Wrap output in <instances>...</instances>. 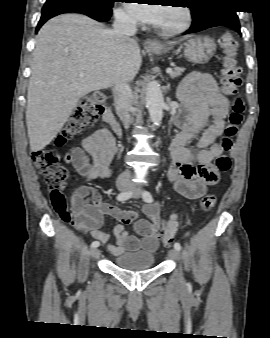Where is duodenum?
I'll return each mask as SVG.
<instances>
[{"label": "duodenum", "instance_id": "410a0bca", "mask_svg": "<svg viewBox=\"0 0 270 338\" xmlns=\"http://www.w3.org/2000/svg\"><path fill=\"white\" fill-rule=\"evenodd\" d=\"M103 120L119 133V123L110 107H106L102 112Z\"/></svg>", "mask_w": 270, "mask_h": 338}]
</instances>
